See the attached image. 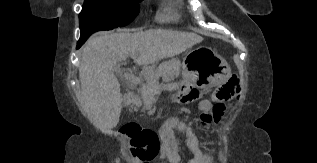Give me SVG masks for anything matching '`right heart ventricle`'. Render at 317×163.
<instances>
[{
	"label": "right heart ventricle",
	"mask_w": 317,
	"mask_h": 163,
	"mask_svg": "<svg viewBox=\"0 0 317 163\" xmlns=\"http://www.w3.org/2000/svg\"><path fill=\"white\" fill-rule=\"evenodd\" d=\"M172 3H177V2H172ZM158 20L160 21H173L176 20L177 18V13H176V5L167 3L160 11L158 14Z\"/></svg>",
	"instance_id": "right-heart-ventricle-1"
}]
</instances>
